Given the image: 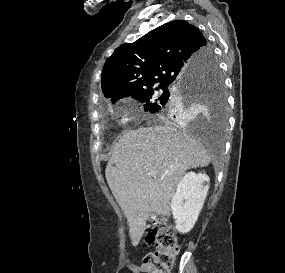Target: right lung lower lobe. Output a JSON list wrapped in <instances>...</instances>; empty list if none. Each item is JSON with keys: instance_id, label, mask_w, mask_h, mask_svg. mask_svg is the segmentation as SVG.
Here are the masks:
<instances>
[{"instance_id": "1", "label": "right lung lower lobe", "mask_w": 285, "mask_h": 273, "mask_svg": "<svg viewBox=\"0 0 285 273\" xmlns=\"http://www.w3.org/2000/svg\"><path fill=\"white\" fill-rule=\"evenodd\" d=\"M208 63L207 60H205V58L195 66V71L197 73H201L206 67H207ZM191 71L186 73L182 78L176 80L172 86H177L179 89H183L185 87H188L191 82L190 79L192 77Z\"/></svg>"}]
</instances>
